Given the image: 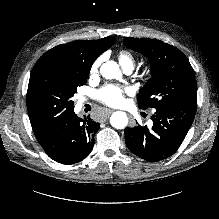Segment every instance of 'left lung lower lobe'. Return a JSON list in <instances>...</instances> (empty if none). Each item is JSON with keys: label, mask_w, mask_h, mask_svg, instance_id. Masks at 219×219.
<instances>
[{"label": "left lung lower lobe", "mask_w": 219, "mask_h": 219, "mask_svg": "<svg viewBox=\"0 0 219 219\" xmlns=\"http://www.w3.org/2000/svg\"><path fill=\"white\" fill-rule=\"evenodd\" d=\"M197 103L188 101L173 107L157 108L151 116L153 125L126 127L128 149L149 162H156L174 154L191 127Z\"/></svg>", "instance_id": "obj_1"}]
</instances>
